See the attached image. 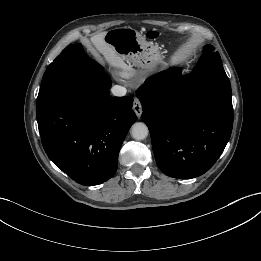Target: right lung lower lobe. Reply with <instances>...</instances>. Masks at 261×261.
I'll use <instances>...</instances> for the list:
<instances>
[{
  "instance_id": "98d812e1",
  "label": "right lung lower lobe",
  "mask_w": 261,
  "mask_h": 261,
  "mask_svg": "<svg viewBox=\"0 0 261 261\" xmlns=\"http://www.w3.org/2000/svg\"><path fill=\"white\" fill-rule=\"evenodd\" d=\"M111 80L103 71L70 82L36 108L48 157L79 184L112 178L121 145L136 115L133 98L109 97Z\"/></svg>"
}]
</instances>
